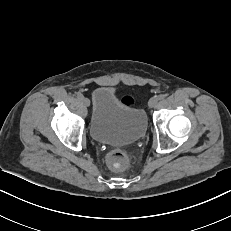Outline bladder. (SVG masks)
<instances>
[{
	"label": "bladder",
	"instance_id": "obj_1",
	"mask_svg": "<svg viewBox=\"0 0 231 231\" xmlns=\"http://www.w3.org/2000/svg\"><path fill=\"white\" fill-rule=\"evenodd\" d=\"M145 111L119 99L114 90L100 86L93 93L90 133L107 144H128L140 140L147 130Z\"/></svg>",
	"mask_w": 231,
	"mask_h": 231
}]
</instances>
